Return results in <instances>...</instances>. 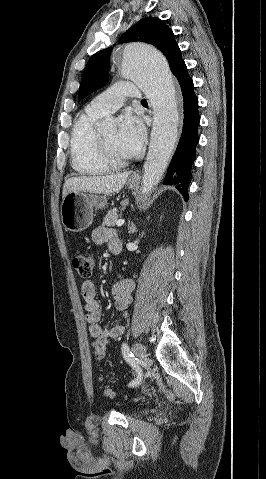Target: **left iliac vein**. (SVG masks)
Masks as SVG:
<instances>
[{
	"label": "left iliac vein",
	"mask_w": 266,
	"mask_h": 479,
	"mask_svg": "<svg viewBox=\"0 0 266 479\" xmlns=\"http://www.w3.org/2000/svg\"><path fill=\"white\" fill-rule=\"evenodd\" d=\"M133 353L142 361H146V358H147V354H146V351L144 349V347L138 343H135L133 345Z\"/></svg>",
	"instance_id": "left-iliac-vein-1"
}]
</instances>
